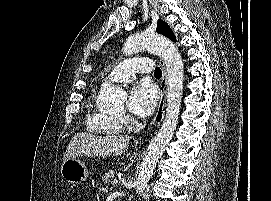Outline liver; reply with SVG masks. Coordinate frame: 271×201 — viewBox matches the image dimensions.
<instances>
[{
  "mask_svg": "<svg viewBox=\"0 0 271 201\" xmlns=\"http://www.w3.org/2000/svg\"><path fill=\"white\" fill-rule=\"evenodd\" d=\"M129 136L107 135L104 137L90 133H77L70 141L63 161L78 156H112L120 155L127 150Z\"/></svg>",
  "mask_w": 271,
  "mask_h": 201,
  "instance_id": "1",
  "label": "liver"
}]
</instances>
